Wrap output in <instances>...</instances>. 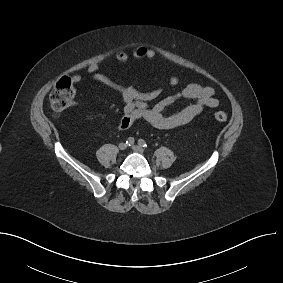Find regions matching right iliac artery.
I'll return each mask as SVG.
<instances>
[{
  "label": "right iliac artery",
  "mask_w": 283,
  "mask_h": 283,
  "mask_svg": "<svg viewBox=\"0 0 283 283\" xmlns=\"http://www.w3.org/2000/svg\"><path fill=\"white\" fill-rule=\"evenodd\" d=\"M126 144H127L128 146L133 145V144H134V138L129 137V138L127 139V141H126Z\"/></svg>",
  "instance_id": "1"
}]
</instances>
